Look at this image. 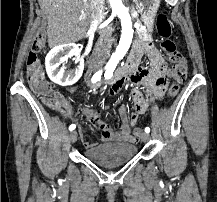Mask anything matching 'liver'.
Segmentation results:
<instances>
[{
  "label": "liver",
  "instance_id": "obj_1",
  "mask_svg": "<svg viewBox=\"0 0 217 202\" xmlns=\"http://www.w3.org/2000/svg\"><path fill=\"white\" fill-rule=\"evenodd\" d=\"M38 4L47 16L50 48L84 38L89 26V0H38Z\"/></svg>",
  "mask_w": 217,
  "mask_h": 202
}]
</instances>
